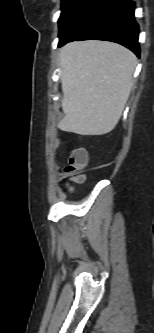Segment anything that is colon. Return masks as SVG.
I'll return each instance as SVG.
<instances>
[{
    "mask_svg": "<svg viewBox=\"0 0 154 333\" xmlns=\"http://www.w3.org/2000/svg\"><path fill=\"white\" fill-rule=\"evenodd\" d=\"M87 163L88 158L86 152L83 149H74L71 152L69 162L64 169V178L69 183L83 182Z\"/></svg>",
    "mask_w": 154,
    "mask_h": 333,
    "instance_id": "5ec220e1",
    "label": "colon"
}]
</instances>
